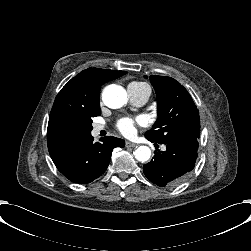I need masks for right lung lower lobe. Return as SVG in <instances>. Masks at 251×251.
<instances>
[{
    "instance_id": "obj_1",
    "label": "right lung lower lobe",
    "mask_w": 251,
    "mask_h": 251,
    "mask_svg": "<svg viewBox=\"0 0 251 251\" xmlns=\"http://www.w3.org/2000/svg\"><path fill=\"white\" fill-rule=\"evenodd\" d=\"M102 140L103 144L93 143L90 134L69 151L52 160L71 182L90 183L106 171L113 148L125 146V141L116 137L107 136Z\"/></svg>"
}]
</instances>
